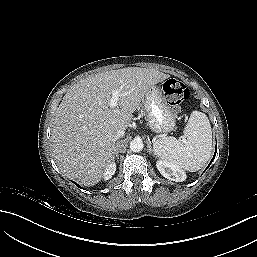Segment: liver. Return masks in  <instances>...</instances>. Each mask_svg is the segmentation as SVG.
I'll list each match as a JSON object with an SVG mask.
<instances>
[{
  "label": "liver",
  "mask_w": 257,
  "mask_h": 257,
  "mask_svg": "<svg viewBox=\"0 0 257 257\" xmlns=\"http://www.w3.org/2000/svg\"><path fill=\"white\" fill-rule=\"evenodd\" d=\"M169 77L153 68L127 67L74 84L56 110L51 134L61 172L84 186L97 184L114 162L113 134L128 127L146 92ZM112 91L122 94L115 108L109 105Z\"/></svg>",
  "instance_id": "obj_1"
}]
</instances>
